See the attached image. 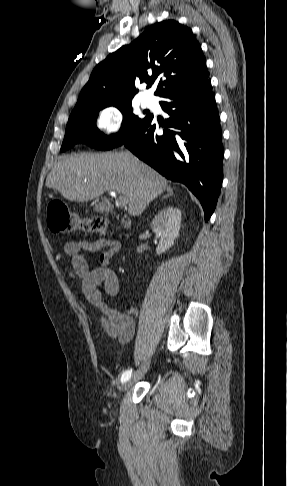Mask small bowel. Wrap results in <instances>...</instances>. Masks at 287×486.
Here are the masks:
<instances>
[{
    "label": "small bowel",
    "instance_id": "small-bowel-1",
    "mask_svg": "<svg viewBox=\"0 0 287 486\" xmlns=\"http://www.w3.org/2000/svg\"><path fill=\"white\" fill-rule=\"evenodd\" d=\"M121 244L113 239L88 241L75 239L63 245V252L71 258L75 274L82 280V291L86 299L100 309L102 324L108 335L120 343H128L135 334L134 307L126 312H119L109 307L103 298L100 286L106 294L116 296L120 290L119 279L110 267L111 259L120 251ZM85 252H100L99 266L90 269Z\"/></svg>",
    "mask_w": 287,
    "mask_h": 486
}]
</instances>
